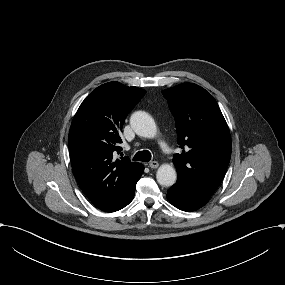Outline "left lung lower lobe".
I'll use <instances>...</instances> for the list:
<instances>
[{
	"mask_svg": "<svg viewBox=\"0 0 285 285\" xmlns=\"http://www.w3.org/2000/svg\"><path fill=\"white\" fill-rule=\"evenodd\" d=\"M210 197V195L199 192L178 180L168 189L167 193V199L172 205L187 212L203 207Z\"/></svg>",
	"mask_w": 285,
	"mask_h": 285,
	"instance_id": "1",
	"label": "left lung lower lobe"
}]
</instances>
